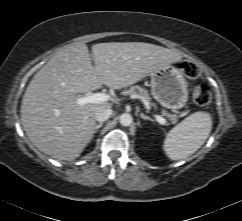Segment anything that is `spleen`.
I'll use <instances>...</instances> for the list:
<instances>
[{"label": "spleen", "mask_w": 242, "mask_h": 221, "mask_svg": "<svg viewBox=\"0 0 242 221\" xmlns=\"http://www.w3.org/2000/svg\"><path fill=\"white\" fill-rule=\"evenodd\" d=\"M211 129V116L205 112H195L167 133L163 149L171 160L185 159L201 148Z\"/></svg>", "instance_id": "spleen-1"}]
</instances>
